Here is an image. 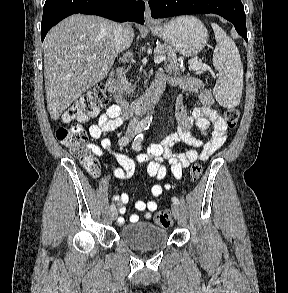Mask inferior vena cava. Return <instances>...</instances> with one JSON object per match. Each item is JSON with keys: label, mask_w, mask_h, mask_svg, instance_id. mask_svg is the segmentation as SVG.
Listing matches in <instances>:
<instances>
[{"label": "inferior vena cava", "mask_w": 288, "mask_h": 293, "mask_svg": "<svg viewBox=\"0 0 288 293\" xmlns=\"http://www.w3.org/2000/svg\"><path fill=\"white\" fill-rule=\"evenodd\" d=\"M127 30V24H117L115 28V42H116V49L120 50L124 34ZM136 124V118L131 119L129 125H128V132L131 133L134 130Z\"/></svg>", "instance_id": "inferior-vena-cava-1"}]
</instances>
